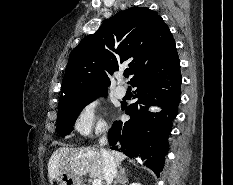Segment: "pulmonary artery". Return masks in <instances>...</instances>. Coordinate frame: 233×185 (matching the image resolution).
Listing matches in <instances>:
<instances>
[{
    "label": "pulmonary artery",
    "instance_id": "obj_1",
    "mask_svg": "<svg viewBox=\"0 0 233 185\" xmlns=\"http://www.w3.org/2000/svg\"><path fill=\"white\" fill-rule=\"evenodd\" d=\"M119 79L122 80L123 79V75L119 74ZM126 87L122 84L118 85L115 89V92L117 94L118 97L122 98L126 95Z\"/></svg>",
    "mask_w": 233,
    "mask_h": 185
}]
</instances>
